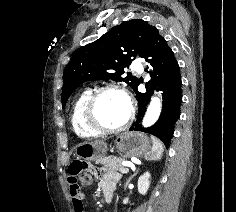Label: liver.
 Here are the masks:
<instances>
[{
  "instance_id": "obj_1",
  "label": "liver",
  "mask_w": 236,
  "mask_h": 212,
  "mask_svg": "<svg viewBox=\"0 0 236 212\" xmlns=\"http://www.w3.org/2000/svg\"><path fill=\"white\" fill-rule=\"evenodd\" d=\"M90 143H92V144H94V145H102V144H105V142H104L103 140H96V141L90 142Z\"/></svg>"
}]
</instances>
